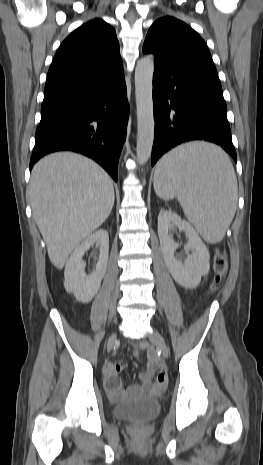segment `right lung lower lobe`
Masks as SVG:
<instances>
[{
  "mask_svg": "<svg viewBox=\"0 0 263 465\" xmlns=\"http://www.w3.org/2000/svg\"><path fill=\"white\" fill-rule=\"evenodd\" d=\"M128 112L124 74L44 95L30 170L44 155L69 150L94 159L117 181Z\"/></svg>",
  "mask_w": 263,
  "mask_h": 465,
  "instance_id": "right-lung-lower-lobe-1",
  "label": "right lung lower lobe"
}]
</instances>
